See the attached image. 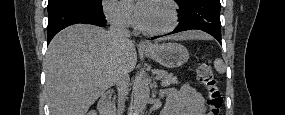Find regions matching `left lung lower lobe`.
Masks as SVG:
<instances>
[{
	"label": "left lung lower lobe",
	"instance_id": "obj_1",
	"mask_svg": "<svg viewBox=\"0 0 285 115\" xmlns=\"http://www.w3.org/2000/svg\"><path fill=\"white\" fill-rule=\"evenodd\" d=\"M220 7V0H189L179 7V24L169 34L199 29L215 37L221 44Z\"/></svg>",
	"mask_w": 285,
	"mask_h": 115
}]
</instances>
